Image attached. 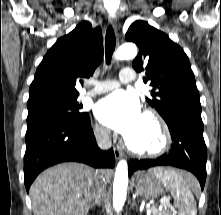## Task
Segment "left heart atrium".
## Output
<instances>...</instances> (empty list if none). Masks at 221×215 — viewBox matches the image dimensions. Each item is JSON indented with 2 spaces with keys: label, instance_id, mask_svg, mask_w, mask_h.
Segmentation results:
<instances>
[{
  "label": "left heart atrium",
  "instance_id": "left-heart-atrium-1",
  "mask_svg": "<svg viewBox=\"0 0 221 215\" xmlns=\"http://www.w3.org/2000/svg\"><path fill=\"white\" fill-rule=\"evenodd\" d=\"M98 120L105 126L129 138L143 118L139 100L125 91H117L102 99L95 109Z\"/></svg>",
  "mask_w": 221,
  "mask_h": 215
}]
</instances>
